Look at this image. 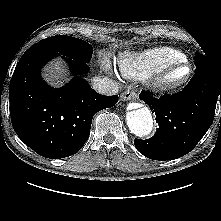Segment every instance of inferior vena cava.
Instances as JSON below:
<instances>
[{"label": "inferior vena cava", "mask_w": 221, "mask_h": 221, "mask_svg": "<svg viewBox=\"0 0 221 221\" xmlns=\"http://www.w3.org/2000/svg\"><path fill=\"white\" fill-rule=\"evenodd\" d=\"M92 87L98 93L104 95H114L118 93V84L108 77H94L92 79Z\"/></svg>", "instance_id": "obj_1"}]
</instances>
